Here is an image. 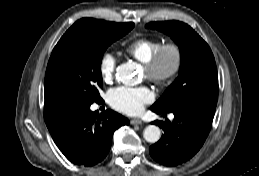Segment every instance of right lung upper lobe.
Returning a JSON list of instances; mask_svg holds the SVG:
<instances>
[{
    "label": "right lung upper lobe",
    "instance_id": "1",
    "mask_svg": "<svg viewBox=\"0 0 259 176\" xmlns=\"http://www.w3.org/2000/svg\"><path fill=\"white\" fill-rule=\"evenodd\" d=\"M45 108L52 107L56 103L63 101L59 92L48 74L45 75L44 82Z\"/></svg>",
    "mask_w": 259,
    "mask_h": 176
}]
</instances>
